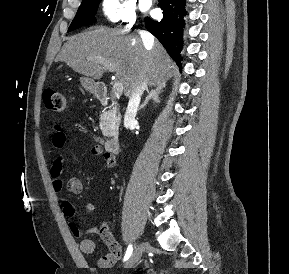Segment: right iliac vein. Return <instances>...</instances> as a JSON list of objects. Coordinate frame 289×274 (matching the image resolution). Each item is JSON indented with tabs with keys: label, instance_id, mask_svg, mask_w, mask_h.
<instances>
[{
	"label": "right iliac vein",
	"instance_id": "obj_1",
	"mask_svg": "<svg viewBox=\"0 0 289 274\" xmlns=\"http://www.w3.org/2000/svg\"><path fill=\"white\" fill-rule=\"evenodd\" d=\"M144 248H145L144 242H140L135 246L133 253L131 254L130 258L125 264L126 268L134 266L140 260Z\"/></svg>",
	"mask_w": 289,
	"mask_h": 274
}]
</instances>
